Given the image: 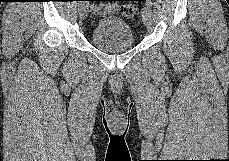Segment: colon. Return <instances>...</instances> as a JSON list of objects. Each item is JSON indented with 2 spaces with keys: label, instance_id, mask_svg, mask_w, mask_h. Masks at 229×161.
<instances>
[{
  "label": "colon",
  "instance_id": "1",
  "mask_svg": "<svg viewBox=\"0 0 229 161\" xmlns=\"http://www.w3.org/2000/svg\"><path fill=\"white\" fill-rule=\"evenodd\" d=\"M137 11V7L134 4H126L121 8V15L125 18H132Z\"/></svg>",
  "mask_w": 229,
  "mask_h": 161
}]
</instances>
